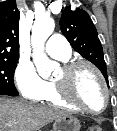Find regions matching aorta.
Segmentation results:
<instances>
[{"instance_id":"aorta-1","label":"aorta","mask_w":117,"mask_h":131,"mask_svg":"<svg viewBox=\"0 0 117 131\" xmlns=\"http://www.w3.org/2000/svg\"><path fill=\"white\" fill-rule=\"evenodd\" d=\"M55 28L54 20L50 17L36 18L31 35L33 46V61L39 75L48 78L57 64L50 60L44 52V44Z\"/></svg>"}]
</instances>
